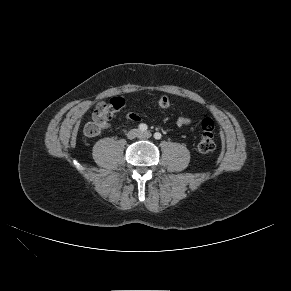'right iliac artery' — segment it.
I'll return each mask as SVG.
<instances>
[{"label":"right iliac artery","instance_id":"1","mask_svg":"<svg viewBox=\"0 0 291 291\" xmlns=\"http://www.w3.org/2000/svg\"><path fill=\"white\" fill-rule=\"evenodd\" d=\"M139 130L144 132L148 129L147 125L144 124V123H141L139 126H138Z\"/></svg>","mask_w":291,"mask_h":291}]
</instances>
